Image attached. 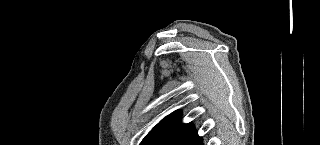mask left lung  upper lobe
<instances>
[{
  "label": "left lung upper lobe",
  "instance_id": "5c2ea615",
  "mask_svg": "<svg viewBox=\"0 0 320 145\" xmlns=\"http://www.w3.org/2000/svg\"><path fill=\"white\" fill-rule=\"evenodd\" d=\"M193 131V125L181 123V112L175 111L158 123L141 145H180Z\"/></svg>",
  "mask_w": 320,
  "mask_h": 145
}]
</instances>
